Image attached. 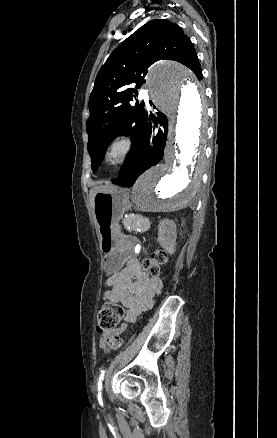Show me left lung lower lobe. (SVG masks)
I'll list each match as a JSON object with an SVG mask.
<instances>
[{"label": "left lung lower lobe", "mask_w": 277, "mask_h": 438, "mask_svg": "<svg viewBox=\"0 0 277 438\" xmlns=\"http://www.w3.org/2000/svg\"><path fill=\"white\" fill-rule=\"evenodd\" d=\"M154 122V124L152 123ZM159 123L163 128H157ZM167 139V118L161 113L157 117H148V126L145 131L136 156L130 161L126 170L112 182L121 186L130 187L136 179L151 166L158 164L164 155Z\"/></svg>", "instance_id": "1"}]
</instances>
